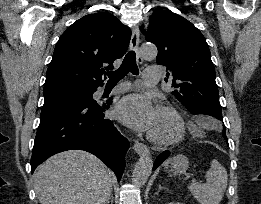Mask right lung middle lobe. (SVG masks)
<instances>
[{
  "instance_id": "obj_1",
  "label": "right lung middle lobe",
  "mask_w": 261,
  "mask_h": 204,
  "mask_svg": "<svg viewBox=\"0 0 261 204\" xmlns=\"http://www.w3.org/2000/svg\"><path fill=\"white\" fill-rule=\"evenodd\" d=\"M90 91H73V92H59L44 95V103H50L54 101L66 100L77 97L89 96Z\"/></svg>"
}]
</instances>
